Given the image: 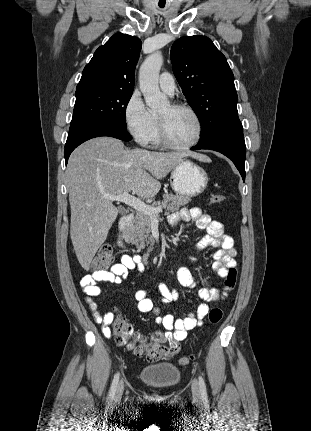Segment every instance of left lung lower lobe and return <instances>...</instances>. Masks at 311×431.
<instances>
[{
    "instance_id": "obj_1",
    "label": "left lung lower lobe",
    "mask_w": 311,
    "mask_h": 431,
    "mask_svg": "<svg viewBox=\"0 0 311 431\" xmlns=\"http://www.w3.org/2000/svg\"><path fill=\"white\" fill-rule=\"evenodd\" d=\"M210 149L218 151L233 161L245 181L246 146L242 125L230 126L215 136L199 142L192 150Z\"/></svg>"
}]
</instances>
